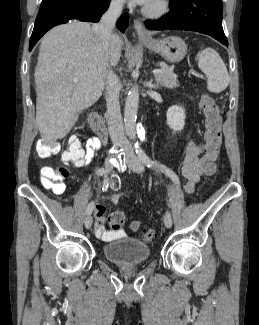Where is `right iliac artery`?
Returning <instances> with one entry per match:
<instances>
[{
	"label": "right iliac artery",
	"instance_id": "1",
	"mask_svg": "<svg viewBox=\"0 0 259 325\" xmlns=\"http://www.w3.org/2000/svg\"><path fill=\"white\" fill-rule=\"evenodd\" d=\"M104 168H99L98 170H97V174L99 175V176H102L103 174H104ZM93 209H94V203L93 202H91L89 205H88V207H87V210H86V212H87V214H91L92 213V211H93Z\"/></svg>",
	"mask_w": 259,
	"mask_h": 325
}]
</instances>
